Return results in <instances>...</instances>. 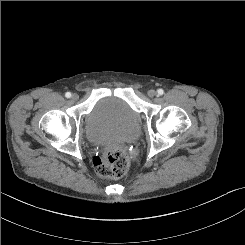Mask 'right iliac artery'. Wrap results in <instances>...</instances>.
Returning a JSON list of instances; mask_svg holds the SVG:
<instances>
[{
	"label": "right iliac artery",
	"instance_id": "right-iliac-artery-1",
	"mask_svg": "<svg viewBox=\"0 0 245 245\" xmlns=\"http://www.w3.org/2000/svg\"><path fill=\"white\" fill-rule=\"evenodd\" d=\"M65 97H66V98H70V97H71V93H70V92H67V93L65 94Z\"/></svg>",
	"mask_w": 245,
	"mask_h": 245
}]
</instances>
